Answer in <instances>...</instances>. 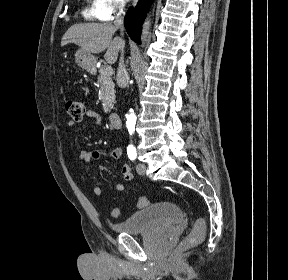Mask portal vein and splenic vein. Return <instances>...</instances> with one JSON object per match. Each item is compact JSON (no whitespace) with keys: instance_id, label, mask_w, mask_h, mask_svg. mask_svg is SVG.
Wrapping results in <instances>:
<instances>
[{"instance_id":"18ae733b","label":"portal vein and splenic vein","mask_w":288,"mask_h":280,"mask_svg":"<svg viewBox=\"0 0 288 280\" xmlns=\"http://www.w3.org/2000/svg\"><path fill=\"white\" fill-rule=\"evenodd\" d=\"M105 72H106V74H110V75H112V73H113V69H112V67H111V66H106V68H105Z\"/></svg>"}]
</instances>
